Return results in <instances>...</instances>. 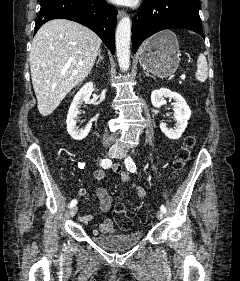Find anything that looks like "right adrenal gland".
I'll use <instances>...</instances> for the list:
<instances>
[{
    "label": "right adrenal gland",
    "mask_w": 240,
    "mask_h": 281,
    "mask_svg": "<svg viewBox=\"0 0 240 281\" xmlns=\"http://www.w3.org/2000/svg\"><path fill=\"white\" fill-rule=\"evenodd\" d=\"M98 56H99V58H98V60L96 62V67H98L99 62L104 59V57L101 55V50H100Z\"/></svg>",
    "instance_id": "2a0ac1e0"
}]
</instances>
